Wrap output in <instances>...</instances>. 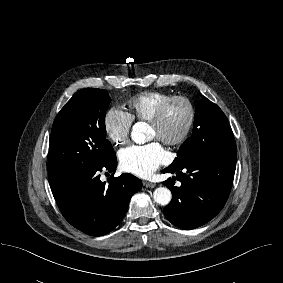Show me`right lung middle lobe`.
<instances>
[{"label":"right lung middle lobe","mask_w":283,"mask_h":283,"mask_svg":"<svg viewBox=\"0 0 283 283\" xmlns=\"http://www.w3.org/2000/svg\"><path fill=\"white\" fill-rule=\"evenodd\" d=\"M108 92L85 88L76 92L56 116L49 146V183L101 166L114 154L106 139Z\"/></svg>","instance_id":"1"}]
</instances>
